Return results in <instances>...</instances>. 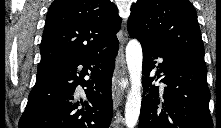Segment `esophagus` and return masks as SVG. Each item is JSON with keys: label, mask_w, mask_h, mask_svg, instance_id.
<instances>
[{"label": "esophagus", "mask_w": 221, "mask_h": 128, "mask_svg": "<svg viewBox=\"0 0 221 128\" xmlns=\"http://www.w3.org/2000/svg\"><path fill=\"white\" fill-rule=\"evenodd\" d=\"M126 73V62L123 52V46H120L119 52L116 58L115 75L112 83V98L114 108H118L121 105L123 99V90L119 85V80Z\"/></svg>", "instance_id": "1"}]
</instances>
